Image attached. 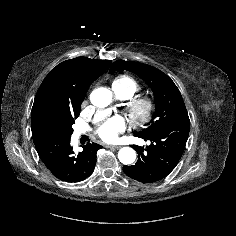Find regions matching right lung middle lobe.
Returning a JSON list of instances; mask_svg holds the SVG:
<instances>
[{
    "mask_svg": "<svg viewBox=\"0 0 236 236\" xmlns=\"http://www.w3.org/2000/svg\"><path fill=\"white\" fill-rule=\"evenodd\" d=\"M78 116L63 115L50 119L45 126V132L62 137H71L73 133L72 125Z\"/></svg>",
    "mask_w": 236,
    "mask_h": 236,
    "instance_id": "obj_1",
    "label": "right lung middle lobe"
}]
</instances>
